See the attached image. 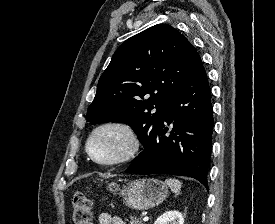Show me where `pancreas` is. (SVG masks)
Returning a JSON list of instances; mask_svg holds the SVG:
<instances>
[{
    "label": "pancreas",
    "mask_w": 275,
    "mask_h": 224,
    "mask_svg": "<svg viewBox=\"0 0 275 224\" xmlns=\"http://www.w3.org/2000/svg\"><path fill=\"white\" fill-rule=\"evenodd\" d=\"M129 224H143V222L140 218L130 217Z\"/></svg>",
    "instance_id": "cf45deb5"
}]
</instances>
